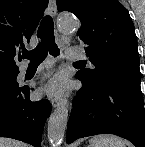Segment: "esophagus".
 Here are the masks:
<instances>
[{
	"instance_id": "esophagus-1",
	"label": "esophagus",
	"mask_w": 145,
	"mask_h": 147,
	"mask_svg": "<svg viewBox=\"0 0 145 147\" xmlns=\"http://www.w3.org/2000/svg\"><path fill=\"white\" fill-rule=\"evenodd\" d=\"M56 13H57L56 1L50 0L49 1V14L51 17H55ZM51 103H52V107L56 108L62 103L66 104L67 100L65 98H53Z\"/></svg>"
}]
</instances>
